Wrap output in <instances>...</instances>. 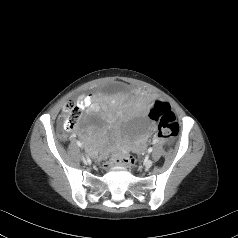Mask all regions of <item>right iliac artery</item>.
<instances>
[{
	"mask_svg": "<svg viewBox=\"0 0 238 238\" xmlns=\"http://www.w3.org/2000/svg\"><path fill=\"white\" fill-rule=\"evenodd\" d=\"M77 145H78L79 147H81V146H82V143H81L80 141H77Z\"/></svg>",
	"mask_w": 238,
	"mask_h": 238,
	"instance_id": "obj_1",
	"label": "right iliac artery"
}]
</instances>
